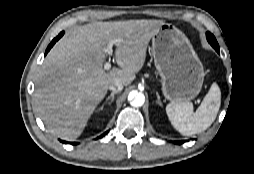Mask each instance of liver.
Returning <instances> with one entry per match:
<instances>
[{"mask_svg":"<svg viewBox=\"0 0 254 174\" xmlns=\"http://www.w3.org/2000/svg\"><path fill=\"white\" fill-rule=\"evenodd\" d=\"M162 20L92 22L65 35L50 50L36 77L35 110L53 135L73 141L81 135L109 85L127 86L143 67L148 44ZM116 39L120 69H103L104 48Z\"/></svg>","mask_w":254,"mask_h":174,"instance_id":"liver-1","label":"liver"}]
</instances>
